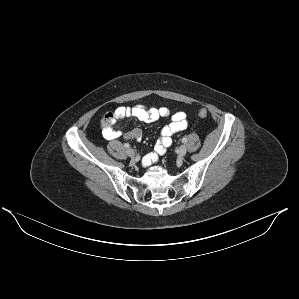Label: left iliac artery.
<instances>
[{
    "label": "left iliac artery",
    "mask_w": 299,
    "mask_h": 299,
    "mask_svg": "<svg viewBox=\"0 0 299 299\" xmlns=\"http://www.w3.org/2000/svg\"><path fill=\"white\" fill-rule=\"evenodd\" d=\"M182 142H183V143H186V142H187V138L184 137V138L182 139Z\"/></svg>",
    "instance_id": "1"
}]
</instances>
